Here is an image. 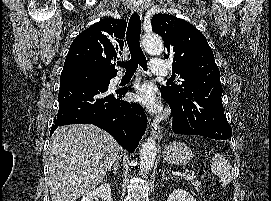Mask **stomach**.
Segmentation results:
<instances>
[{
  "label": "stomach",
  "instance_id": "stomach-1",
  "mask_svg": "<svg viewBox=\"0 0 271 201\" xmlns=\"http://www.w3.org/2000/svg\"><path fill=\"white\" fill-rule=\"evenodd\" d=\"M163 158L169 164L185 165L191 161L193 154L186 144L173 142L165 147Z\"/></svg>",
  "mask_w": 271,
  "mask_h": 201
}]
</instances>
